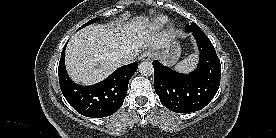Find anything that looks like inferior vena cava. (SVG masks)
<instances>
[{
  "label": "inferior vena cava",
  "mask_w": 276,
  "mask_h": 138,
  "mask_svg": "<svg viewBox=\"0 0 276 138\" xmlns=\"http://www.w3.org/2000/svg\"><path fill=\"white\" fill-rule=\"evenodd\" d=\"M135 57H136V50L134 51L131 49H125L117 54L116 59L118 63L122 65H126V64L132 63Z\"/></svg>",
  "instance_id": "602c4592"
}]
</instances>
